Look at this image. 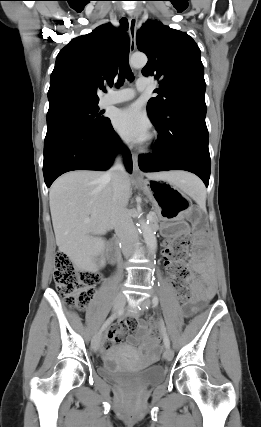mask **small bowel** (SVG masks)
<instances>
[{"instance_id":"1","label":"small bowel","mask_w":261,"mask_h":427,"mask_svg":"<svg viewBox=\"0 0 261 427\" xmlns=\"http://www.w3.org/2000/svg\"><path fill=\"white\" fill-rule=\"evenodd\" d=\"M164 259L167 268V257L165 250ZM196 268L199 270L202 269L200 265H197ZM203 279L206 287H203L200 283H195L193 286L194 299L190 304L186 305L184 309V312L187 316H190L196 312L201 307V305L210 299L214 294L215 285L211 277L208 274H205ZM141 327L142 321L140 319H128L126 321H120L108 336L107 340L104 342V347H112L114 344L120 341L121 336L129 331L130 334H136L128 336V344L131 346L133 354L137 356L139 354L138 348H144L148 353L149 359L151 361H156L159 355V337H149L147 340H143L142 333L139 331Z\"/></svg>"}]
</instances>
